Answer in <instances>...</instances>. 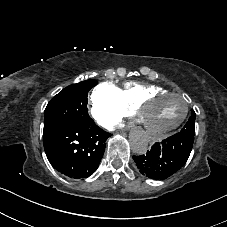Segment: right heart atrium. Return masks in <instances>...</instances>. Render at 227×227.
<instances>
[{
    "label": "right heart atrium",
    "instance_id": "right-heart-atrium-1",
    "mask_svg": "<svg viewBox=\"0 0 227 227\" xmlns=\"http://www.w3.org/2000/svg\"><path fill=\"white\" fill-rule=\"evenodd\" d=\"M91 114L99 125L107 129L117 127L128 114L121 100L120 89L111 82L97 85L91 95Z\"/></svg>",
    "mask_w": 227,
    "mask_h": 227
}]
</instances>
